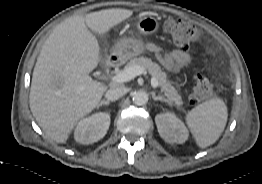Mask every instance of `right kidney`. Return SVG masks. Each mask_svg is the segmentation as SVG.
Wrapping results in <instances>:
<instances>
[{"label": "right kidney", "instance_id": "ca27d5eb", "mask_svg": "<svg viewBox=\"0 0 262 184\" xmlns=\"http://www.w3.org/2000/svg\"><path fill=\"white\" fill-rule=\"evenodd\" d=\"M110 125V115L105 112L93 114L80 120L75 128L74 137L78 143L92 144L102 139Z\"/></svg>", "mask_w": 262, "mask_h": 184}]
</instances>
